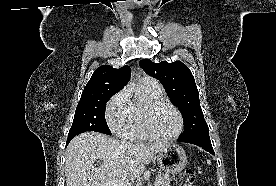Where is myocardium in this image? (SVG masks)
<instances>
[{
	"instance_id": "myocardium-1",
	"label": "myocardium",
	"mask_w": 276,
	"mask_h": 186,
	"mask_svg": "<svg viewBox=\"0 0 276 186\" xmlns=\"http://www.w3.org/2000/svg\"><path fill=\"white\" fill-rule=\"evenodd\" d=\"M161 106H169L175 111L179 118V128L177 132L171 136H160L153 129L151 122L152 114ZM143 124L148 136L158 141H173L177 139L183 133L185 127L184 117L181 111L172 102L163 98L152 100L146 104L143 112Z\"/></svg>"
}]
</instances>
